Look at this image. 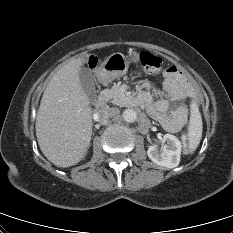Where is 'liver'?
I'll use <instances>...</instances> for the list:
<instances>
[{"label":"liver","mask_w":233,"mask_h":233,"mask_svg":"<svg viewBox=\"0 0 233 233\" xmlns=\"http://www.w3.org/2000/svg\"><path fill=\"white\" fill-rule=\"evenodd\" d=\"M90 55L73 58L47 85L36 117V137L44 156L58 167H70L86 155L92 136V108L79 71Z\"/></svg>","instance_id":"liver-1"}]
</instances>
